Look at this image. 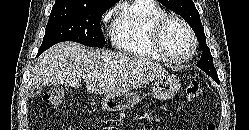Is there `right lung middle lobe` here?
Segmentation results:
<instances>
[{"instance_id":"dd1d6c3e","label":"right lung middle lobe","mask_w":249,"mask_h":130,"mask_svg":"<svg viewBox=\"0 0 249 130\" xmlns=\"http://www.w3.org/2000/svg\"><path fill=\"white\" fill-rule=\"evenodd\" d=\"M109 8L53 6L38 55L62 41H74L90 47H104L106 42L100 21L103 13Z\"/></svg>"}]
</instances>
